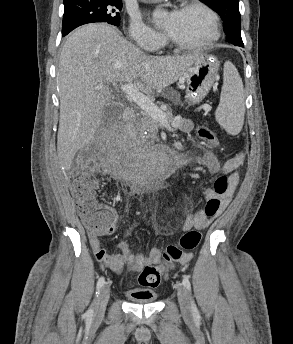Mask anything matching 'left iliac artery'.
<instances>
[{"label": "left iliac artery", "mask_w": 293, "mask_h": 344, "mask_svg": "<svg viewBox=\"0 0 293 344\" xmlns=\"http://www.w3.org/2000/svg\"><path fill=\"white\" fill-rule=\"evenodd\" d=\"M182 284L185 287V289L190 293L191 292V284H190V281H189V278L187 275H183ZM191 308H192L193 316L198 317L199 312H198V309H197L193 300H191Z\"/></svg>", "instance_id": "1"}]
</instances>
